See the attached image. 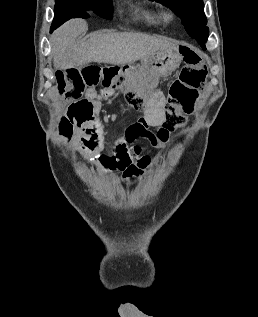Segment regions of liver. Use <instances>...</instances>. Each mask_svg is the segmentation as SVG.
<instances>
[{
	"mask_svg": "<svg viewBox=\"0 0 258 317\" xmlns=\"http://www.w3.org/2000/svg\"><path fill=\"white\" fill-rule=\"evenodd\" d=\"M88 24L84 18H71L57 28L51 36L55 68H79L89 62L127 64L135 62L155 50H171L177 46L166 36H150L142 32H97L77 44L84 36Z\"/></svg>",
	"mask_w": 258,
	"mask_h": 317,
	"instance_id": "liver-1",
	"label": "liver"
}]
</instances>
